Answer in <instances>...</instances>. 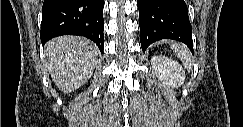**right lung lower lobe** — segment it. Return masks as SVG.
<instances>
[{"label": "right lung lower lobe", "mask_w": 243, "mask_h": 127, "mask_svg": "<svg viewBox=\"0 0 243 127\" xmlns=\"http://www.w3.org/2000/svg\"><path fill=\"white\" fill-rule=\"evenodd\" d=\"M103 7V0H44L42 44L61 35H80L94 41L103 52Z\"/></svg>", "instance_id": "98d812e1"}]
</instances>
